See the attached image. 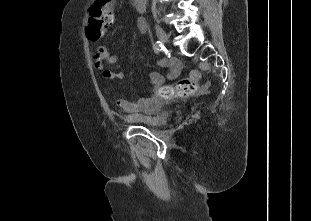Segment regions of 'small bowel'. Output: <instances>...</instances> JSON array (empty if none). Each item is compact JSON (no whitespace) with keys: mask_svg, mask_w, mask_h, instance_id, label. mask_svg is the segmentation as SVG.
Returning a JSON list of instances; mask_svg holds the SVG:
<instances>
[{"mask_svg":"<svg viewBox=\"0 0 311 221\" xmlns=\"http://www.w3.org/2000/svg\"><path fill=\"white\" fill-rule=\"evenodd\" d=\"M141 31L145 30L143 23L139 25ZM118 62V57L110 53L109 49L105 45H101L97 48L95 53V67L102 71L103 78L111 83L117 82L126 75L125 70H112L105 68L106 64L115 65ZM164 78L160 73H153L150 76L149 84L154 90H157L163 83ZM151 96H141L136 99H128L122 95H118L116 98V106L122 113H136L144 111L150 100Z\"/></svg>","mask_w":311,"mask_h":221,"instance_id":"small-bowel-1","label":"small bowel"}]
</instances>
